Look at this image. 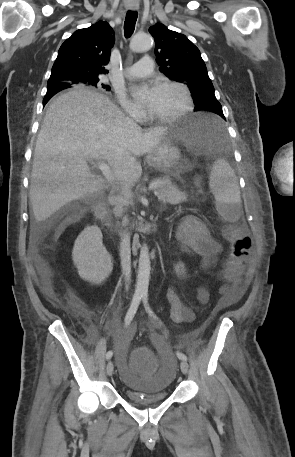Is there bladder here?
<instances>
[{"mask_svg":"<svg viewBox=\"0 0 295 457\" xmlns=\"http://www.w3.org/2000/svg\"><path fill=\"white\" fill-rule=\"evenodd\" d=\"M113 350L109 357L113 365H119L117 376L123 378L125 386L124 395L127 400L138 406H147L165 401L168 396V387L173 378V369L176 368V354L168 352L165 342H156L157 354H165L158 357V374H131L130 363L126 351L121 347L128 346L127 338H114Z\"/></svg>","mask_w":295,"mask_h":457,"instance_id":"bladder-1","label":"bladder"}]
</instances>
